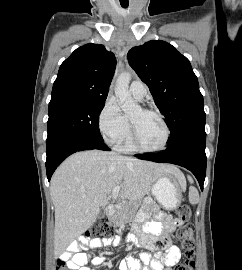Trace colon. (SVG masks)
Here are the masks:
<instances>
[{"mask_svg": "<svg viewBox=\"0 0 242 270\" xmlns=\"http://www.w3.org/2000/svg\"><path fill=\"white\" fill-rule=\"evenodd\" d=\"M174 214L177 220L184 222L190 217V206L187 204L181 205L175 210ZM114 231V225L107 218H102L85 233V239L110 238L113 236ZM176 236L184 250L185 260L175 266L173 270H194L195 239L192 226L190 224L181 226ZM56 270H66L60 259L57 261Z\"/></svg>", "mask_w": 242, "mask_h": 270, "instance_id": "colon-1", "label": "colon"}]
</instances>
